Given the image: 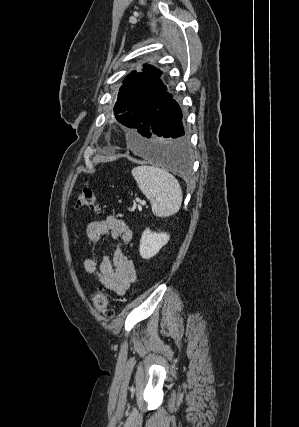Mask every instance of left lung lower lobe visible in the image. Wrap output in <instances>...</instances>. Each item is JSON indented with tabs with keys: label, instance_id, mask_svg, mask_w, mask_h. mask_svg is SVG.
<instances>
[{
	"label": "left lung lower lobe",
	"instance_id": "obj_1",
	"mask_svg": "<svg viewBox=\"0 0 299 427\" xmlns=\"http://www.w3.org/2000/svg\"><path fill=\"white\" fill-rule=\"evenodd\" d=\"M139 111L137 132L149 140L137 150L154 163L186 173L190 168L189 140L182 124L181 109L172 95L154 107Z\"/></svg>",
	"mask_w": 299,
	"mask_h": 427
}]
</instances>
